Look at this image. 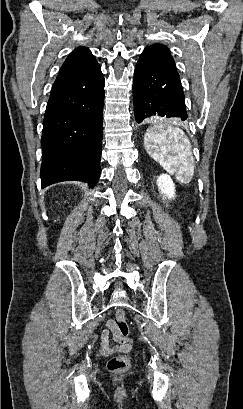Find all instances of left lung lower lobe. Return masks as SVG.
<instances>
[{"mask_svg": "<svg viewBox=\"0 0 243 409\" xmlns=\"http://www.w3.org/2000/svg\"><path fill=\"white\" fill-rule=\"evenodd\" d=\"M133 100L137 123L151 116L187 119L178 73L138 62L134 72Z\"/></svg>", "mask_w": 243, "mask_h": 409, "instance_id": "1", "label": "left lung lower lobe"}]
</instances>
